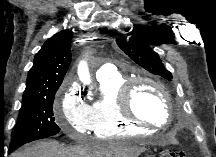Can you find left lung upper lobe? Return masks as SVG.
<instances>
[{
  "instance_id": "5c2ea615",
  "label": "left lung upper lobe",
  "mask_w": 216,
  "mask_h": 157,
  "mask_svg": "<svg viewBox=\"0 0 216 157\" xmlns=\"http://www.w3.org/2000/svg\"><path fill=\"white\" fill-rule=\"evenodd\" d=\"M133 37L117 39L116 43L135 63L147 71L170 81L172 74L165 68L159 55L149 47L148 43L151 44L150 38Z\"/></svg>"
}]
</instances>
